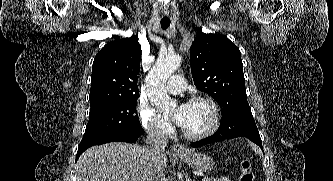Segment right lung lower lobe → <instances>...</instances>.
Instances as JSON below:
<instances>
[{"instance_id": "98d812e1", "label": "right lung lower lobe", "mask_w": 333, "mask_h": 181, "mask_svg": "<svg viewBox=\"0 0 333 181\" xmlns=\"http://www.w3.org/2000/svg\"><path fill=\"white\" fill-rule=\"evenodd\" d=\"M141 135H134V136H125V137H113V138H106V139H100L95 140L89 143H82L78 147L77 156L76 158H79V156L89 147L94 145H101L107 142H114V141H120V142H128L132 143L136 141Z\"/></svg>"}]
</instances>
